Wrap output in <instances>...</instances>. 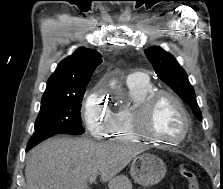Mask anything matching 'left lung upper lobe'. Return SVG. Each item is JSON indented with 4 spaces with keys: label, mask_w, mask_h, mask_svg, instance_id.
<instances>
[{
    "label": "left lung upper lobe",
    "mask_w": 223,
    "mask_h": 189,
    "mask_svg": "<svg viewBox=\"0 0 223 189\" xmlns=\"http://www.w3.org/2000/svg\"><path fill=\"white\" fill-rule=\"evenodd\" d=\"M147 59L153 65L157 76L169 85L180 98L187 103L198 120L202 114L196 101V95L184 69L177 60L162 48L154 46L145 50Z\"/></svg>",
    "instance_id": "1"
}]
</instances>
